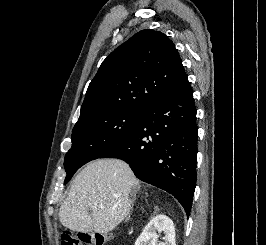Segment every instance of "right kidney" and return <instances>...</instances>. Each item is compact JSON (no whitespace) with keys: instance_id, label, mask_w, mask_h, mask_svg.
<instances>
[{"instance_id":"right-kidney-1","label":"right kidney","mask_w":266,"mask_h":245,"mask_svg":"<svg viewBox=\"0 0 266 245\" xmlns=\"http://www.w3.org/2000/svg\"><path fill=\"white\" fill-rule=\"evenodd\" d=\"M158 233H164L165 243H158ZM135 245H176L175 227L173 221L166 215H156L152 221L144 227Z\"/></svg>"}]
</instances>
